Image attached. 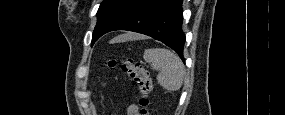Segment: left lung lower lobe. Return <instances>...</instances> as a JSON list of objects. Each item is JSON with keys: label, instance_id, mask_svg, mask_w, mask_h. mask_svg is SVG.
<instances>
[{"label": "left lung lower lobe", "instance_id": "1", "mask_svg": "<svg viewBox=\"0 0 285 115\" xmlns=\"http://www.w3.org/2000/svg\"><path fill=\"white\" fill-rule=\"evenodd\" d=\"M181 7L182 0H131L110 21L104 34L128 30L151 36L171 47L184 61Z\"/></svg>", "mask_w": 285, "mask_h": 115}]
</instances>
